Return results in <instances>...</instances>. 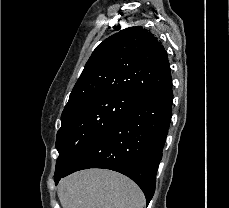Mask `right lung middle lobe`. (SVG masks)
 I'll return each mask as SVG.
<instances>
[{
	"mask_svg": "<svg viewBox=\"0 0 229 208\" xmlns=\"http://www.w3.org/2000/svg\"><path fill=\"white\" fill-rule=\"evenodd\" d=\"M139 101L129 96L111 94L99 96L70 108L61 116L62 126L57 133L54 177L63 174L80 151L104 132Z\"/></svg>",
	"mask_w": 229,
	"mask_h": 208,
	"instance_id": "right-lung-middle-lobe-1",
	"label": "right lung middle lobe"
}]
</instances>
